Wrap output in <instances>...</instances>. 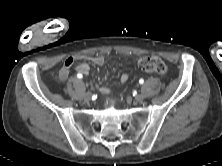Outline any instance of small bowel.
I'll return each mask as SVG.
<instances>
[{
    "instance_id": "c3829d8e",
    "label": "small bowel",
    "mask_w": 222,
    "mask_h": 166,
    "mask_svg": "<svg viewBox=\"0 0 222 166\" xmlns=\"http://www.w3.org/2000/svg\"><path fill=\"white\" fill-rule=\"evenodd\" d=\"M77 61L80 62L76 67L77 71L80 74H83L84 76H88L90 73L89 63L95 64L98 66H102L105 63V58L101 55H97V56H82V55L70 56L64 61L63 65L60 69L59 74L62 79L67 78L73 64ZM128 79H129V75L127 73H124L120 77V82L126 83L128 81ZM100 91L102 94L106 95L109 93V88L106 86H103V87H101Z\"/></svg>"
}]
</instances>
